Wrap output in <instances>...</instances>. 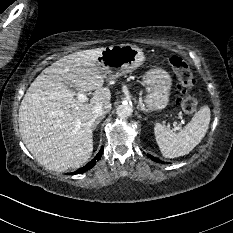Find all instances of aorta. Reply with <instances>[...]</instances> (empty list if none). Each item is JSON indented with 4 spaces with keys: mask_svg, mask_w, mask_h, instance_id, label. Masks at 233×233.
I'll use <instances>...</instances> for the list:
<instances>
[{
    "mask_svg": "<svg viewBox=\"0 0 233 233\" xmlns=\"http://www.w3.org/2000/svg\"><path fill=\"white\" fill-rule=\"evenodd\" d=\"M133 108L130 104H121L117 107L116 114L119 118L125 119L132 115Z\"/></svg>",
    "mask_w": 233,
    "mask_h": 233,
    "instance_id": "1",
    "label": "aorta"
}]
</instances>
